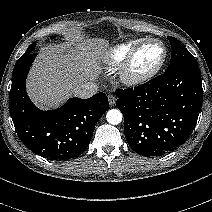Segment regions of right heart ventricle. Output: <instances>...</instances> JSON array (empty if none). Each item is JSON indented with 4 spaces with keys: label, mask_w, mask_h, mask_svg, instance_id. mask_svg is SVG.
<instances>
[{
    "label": "right heart ventricle",
    "mask_w": 212,
    "mask_h": 212,
    "mask_svg": "<svg viewBox=\"0 0 212 212\" xmlns=\"http://www.w3.org/2000/svg\"><path fill=\"white\" fill-rule=\"evenodd\" d=\"M139 42L140 41H131L113 47L105 56V64L110 67L121 64Z\"/></svg>",
    "instance_id": "1"
}]
</instances>
